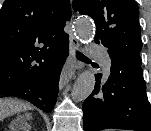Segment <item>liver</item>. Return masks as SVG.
<instances>
[{"label":"liver","instance_id":"liver-1","mask_svg":"<svg viewBox=\"0 0 151 131\" xmlns=\"http://www.w3.org/2000/svg\"><path fill=\"white\" fill-rule=\"evenodd\" d=\"M30 108L31 107L29 105L24 103L12 100H0V121H2L7 116Z\"/></svg>","mask_w":151,"mask_h":131}]
</instances>
